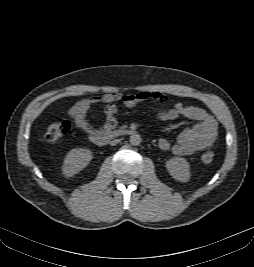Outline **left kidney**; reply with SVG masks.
I'll list each match as a JSON object with an SVG mask.
<instances>
[{
    "instance_id": "5707ae66",
    "label": "left kidney",
    "mask_w": 254,
    "mask_h": 267,
    "mask_svg": "<svg viewBox=\"0 0 254 267\" xmlns=\"http://www.w3.org/2000/svg\"><path fill=\"white\" fill-rule=\"evenodd\" d=\"M166 168L170 175L181 182H187L190 179V165L182 157H173L166 162Z\"/></svg>"
}]
</instances>
